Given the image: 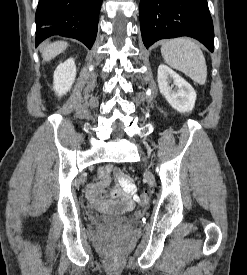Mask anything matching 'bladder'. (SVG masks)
<instances>
[{"mask_svg": "<svg viewBox=\"0 0 247 275\" xmlns=\"http://www.w3.org/2000/svg\"><path fill=\"white\" fill-rule=\"evenodd\" d=\"M101 220L110 224H123L129 220V217L124 215L105 214L101 216Z\"/></svg>", "mask_w": 247, "mask_h": 275, "instance_id": "bladder-1", "label": "bladder"}]
</instances>
